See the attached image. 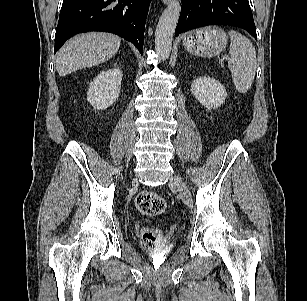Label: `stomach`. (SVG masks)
Listing matches in <instances>:
<instances>
[{"instance_id":"0dacf381","label":"stomach","mask_w":307,"mask_h":301,"mask_svg":"<svg viewBox=\"0 0 307 301\" xmlns=\"http://www.w3.org/2000/svg\"><path fill=\"white\" fill-rule=\"evenodd\" d=\"M228 37L217 26H208L188 32L183 37L185 49L197 56L213 57L219 55L226 47Z\"/></svg>"}]
</instances>
